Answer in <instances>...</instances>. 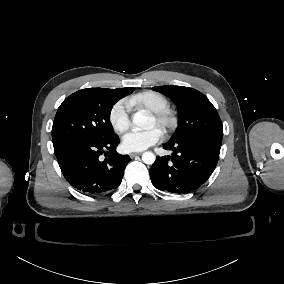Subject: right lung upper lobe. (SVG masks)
I'll return each mask as SVG.
<instances>
[{"label": "right lung upper lobe", "instance_id": "obj_1", "mask_svg": "<svg viewBox=\"0 0 284 284\" xmlns=\"http://www.w3.org/2000/svg\"><path fill=\"white\" fill-rule=\"evenodd\" d=\"M111 90H113L119 97L122 98L132 93L134 89L132 87H127V88H117V89H111Z\"/></svg>", "mask_w": 284, "mask_h": 284}]
</instances>
